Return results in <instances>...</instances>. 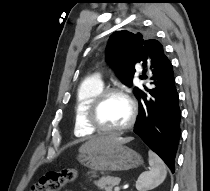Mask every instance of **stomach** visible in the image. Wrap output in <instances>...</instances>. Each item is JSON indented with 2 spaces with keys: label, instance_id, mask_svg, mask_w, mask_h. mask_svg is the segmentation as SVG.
<instances>
[{
  "label": "stomach",
  "instance_id": "obj_1",
  "mask_svg": "<svg viewBox=\"0 0 210 191\" xmlns=\"http://www.w3.org/2000/svg\"><path fill=\"white\" fill-rule=\"evenodd\" d=\"M78 161L92 171H127L143 164L141 155L123 144L82 151Z\"/></svg>",
  "mask_w": 210,
  "mask_h": 191
}]
</instances>
